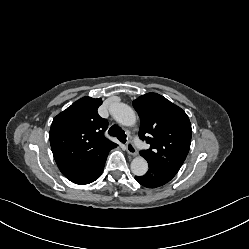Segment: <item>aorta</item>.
<instances>
[{
    "instance_id": "obj_1",
    "label": "aorta",
    "mask_w": 249,
    "mask_h": 249,
    "mask_svg": "<svg viewBox=\"0 0 249 249\" xmlns=\"http://www.w3.org/2000/svg\"><path fill=\"white\" fill-rule=\"evenodd\" d=\"M112 116L119 124L132 126L136 123V114L134 110L124 103H119L112 111ZM131 171L136 176H143L148 171V163L145 158L138 156L131 162Z\"/></svg>"
}]
</instances>
